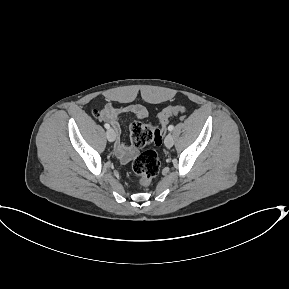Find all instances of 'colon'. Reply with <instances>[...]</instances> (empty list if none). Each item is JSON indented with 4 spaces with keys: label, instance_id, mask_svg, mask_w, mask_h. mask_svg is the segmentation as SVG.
<instances>
[{
    "label": "colon",
    "instance_id": "obj_1",
    "mask_svg": "<svg viewBox=\"0 0 289 289\" xmlns=\"http://www.w3.org/2000/svg\"><path fill=\"white\" fill-rule=\"evenodd\" d=\"M183 111V106H169L164 108L158 115L161 127L152 123H132L130 126L132 143L140 148L151 144L160 146L163 139V127L172 116ZM132 169L137 177V184L142 187H148L160 169V161L157 153L153 150L144 151L134 160Z\"/></svg>",
    "mask_w": 289,
    "mask_h": 289
}]
</instances>
